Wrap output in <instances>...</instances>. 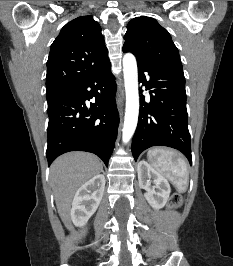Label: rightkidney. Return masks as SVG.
<instances>
[{
	"label": "right kidney",
	"mask_w": 233,
	"mask_h": 266,
	"mask_svg": "<svg viewBox=\"0 0 233 266\" xmlns=\"http://www.w3.org/2000/svg\"><path fill=\"white\" fill-rule=\"evenodd\" d=\"M105 188L104 175L98 174L84 183L75 193L71 219L76 226H84L97 210Z\"/></svg>",
	"instance_id": "ca27d5eb"
}]
</instances>
